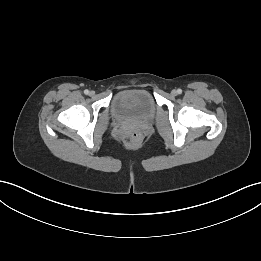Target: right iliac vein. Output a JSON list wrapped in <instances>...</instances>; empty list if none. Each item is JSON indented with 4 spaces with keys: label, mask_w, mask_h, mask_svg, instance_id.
I'll return each instance as SVG.
<instances>
[{
    "label": "right iliac vein",
    "mask_w": 261,
    "mask_h": 261,
    "mask_svg": "<svg viewBox=\"0 0 261 261\" xmlns=\"http://www.w3.org/2000/svg\"><path fill=\"white\" fill-rule=\"evenodd\" d=\"M94 94H95V92H94V91H91V92H90V95H91V96H93Z\"/></svg>",
    "instance_id": "1"
}]
</instances>
